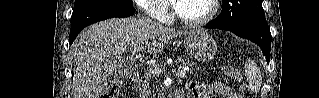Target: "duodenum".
Returning <instances> with one entry per match:
<instances>
[{"label": "duodenum", "instance_id": "1", "mask_svg": "<svg viewBox=\"0 0 319 98\" xmlns=\"http://www.w3.org/2000/svg\"><path fill=\"white\" fill-rule=\"evenodd\" d=\"M140 77H141V73L139 70H136L132 75V79L134 82H138L140 80ZM174 97L175 98H186V96L184 95L182 90H178Z\"/></svg>", "mask_w": 319, "mask_h": 98}]
</instances>
